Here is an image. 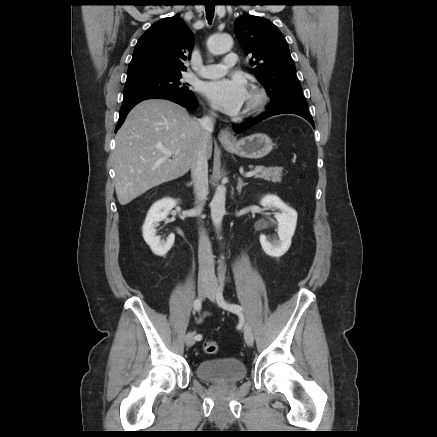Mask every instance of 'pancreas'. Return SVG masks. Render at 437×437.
<instances>
[{"label":"pancreas","instance_id":"obj_1","mask_svg":"<svg viewBox=\"0 0 437 437\" xmlns=\"http://www.w3.org/2000/svg\"><path fill=\"white\" fill-rule=\"evenodd\" d=\"M255 170L257 171L254 176L255 178H261L274 183L281 182L282 168L280 167L264 168L263 166H256Z\"/></svg>","mask_w":437,"mask_h":437}]
</instances>
